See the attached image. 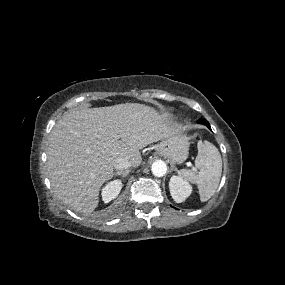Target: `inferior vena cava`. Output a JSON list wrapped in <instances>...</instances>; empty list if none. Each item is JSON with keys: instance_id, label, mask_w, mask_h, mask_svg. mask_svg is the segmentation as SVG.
<instances>
[{"instance_id": "inferior-vena-cava-1", "label": "inferior vena cava", "mask_w": 285, "mask_h": 285, "mask_svg": "<svg viewBox=\"0 0 285 285\" xmlns=\"http://www.w3.org/2000/svg\"><path fill=\"white\" fill-rule=\"evenodd\" d=\"M132 166V162L125 158H118L114 163V168L123 171L128 170Z\"/></svg>"}]
</instances>
